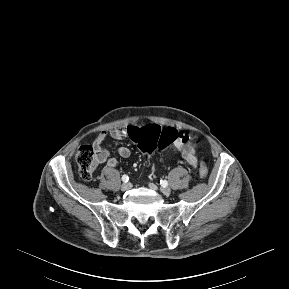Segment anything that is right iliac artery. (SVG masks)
I'll return each mask as SVG.
<instances>
[{
	"label": "right iliac artery",
	"instance_id": "right-iliac-artery-1",
	"mask_svg": "<svg viewBox=\"0 0 289 289\" xmlns=\"http://www.w3.org/2000/svg\"><path fill=\"white\" fill-rule=\"evenodd\" d=\"M128 180H129V177L127 175H123L122 176V181L123 182H128Z\"/></svg>",
	"mask_w": 289,
	"mask_h": 289
}]
</instances>
